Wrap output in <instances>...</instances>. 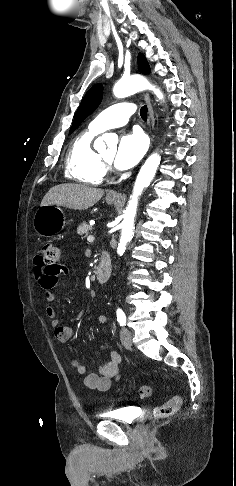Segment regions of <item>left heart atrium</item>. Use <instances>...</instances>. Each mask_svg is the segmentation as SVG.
<instances>
[{
    "instance_id": "left-heart-atrium-1",
    "label": "left heart atrium",
    "mask_w": 236,
    "mask_h": 486,
    "mask_svg": "<svg viewBox=\"0 0 236 486\" xmlns=\"http://www.w3.org/2000/svg\"><path fill=\"white\" fill-rule=\"evenodd\" d=\"M146 148V140L139 132L123 135L114 157L115 166L120 170L135 166L143 157Z\"/></svg>"
}]
</instances>
